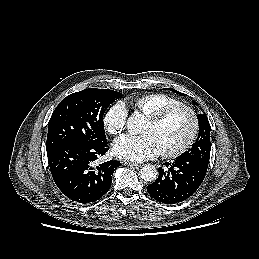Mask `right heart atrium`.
Segmentation results:
<instances>
[{
    "label": "right heart atrium",
    "instance_id": "1",
    "mask_svg": "<svg viewBox=\"0 0 259 259\" xmlns=\"http://www.w3.org/2000/svg\"><path fill=\"white\" fill-rule=\"evenodd\" d=\"M127 117L128 111L126 105L121 101H117L105 112L103 125L108 133L117 136L125 129Z\"/></svg>",
    "mask_w": 259,
    "mask_h": 259
}]
</instances>
